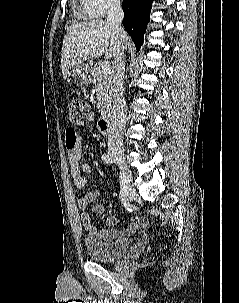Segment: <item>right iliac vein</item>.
Segmentation results:
<instances>
[{"label":"right iliac vein","instance_id":"63e3f726","mask_svg":"<svg viewBox=\"0 0 239 303\" xmlns=\"http://www.w3.org/2000/svg\"><path fill=\"white\" fill-rule=\"evenodd\" d=\"M112 159L119 166L121 171L126 172V175L124 176L126 179L125 185L127 186L129 198L134 199L136 197V192L134 190L133 179H132V175H131L129 168L127 167V165L125 163L124 158L120 155H115L112 157Z\"/></svg>","mask_w":239,"mask_h":303}]
</instances>
